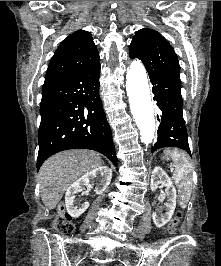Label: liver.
<instances>
[{
    "label": "liver",
    "instance_id": "6515ba94",
    "mask_svg": "<svg viewBox=\"0 0 221 266\" xmlns=\"http://www.w3.org/2000/svg\"><path fill=\"white\" fill-rule=\"evenodd\" d=\"M102 163L100 154L90 150L64 151L50 157L39 171L44 205L48 209H54L69 185Z\"/></svg>",
    "mask_w": 221,
    "mask_h": 266
}]
</instances>
